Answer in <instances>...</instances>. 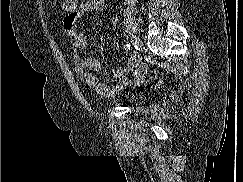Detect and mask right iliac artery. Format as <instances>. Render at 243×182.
Here are the masks:
<instances>
[{"label": "right iliac artery", "instance_id": "1", "mask_svg": "<svg viewBox=\"0 0 243 182\" xmlns=\"http://www.w3.org/2000/svg\"><path fill=\"white\" fill-rule=\"evenodd\" d=\"M124 49H125L126 51H129V50H130V45H129V44H126L125 47H124Z\"/></svg>", "mask_w": 243, "mask_h": 182}]
</instances>
